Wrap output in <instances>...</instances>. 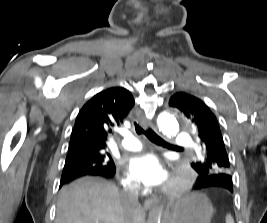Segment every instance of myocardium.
I'll list each match as a JSON object with an SVG mask.
<instances>
[{
	"label": "myocardium",
	"instance_id": "obj_1",
	"mask_svg": "<svg viewBox=\"0 0 267 223\" xmlns=\"http://www.w3.org/2000/svg\"><path fill=\"white\" fill-rule=\"evenodd\" d=\"M195 181L194 171L186 165L180 166L171 181L165 187L168 195H178L189 191Z\"/></svg>",
	"mask_w": 267,
	"mask_h": 223
}]
</instances>
